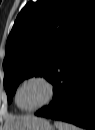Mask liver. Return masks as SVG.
<instances>
[{
    "label": "liver",
    "mask_w": 95,
    "mask_h": 130,
    "mask_svg": "<svg viewBox=\"0 0 95 130\" xmlns=\"http://www.w3.org/2000/svg\"><path fill=\"white\" fill-rule=\"evenodd\" d=\"M33 117L34 116H31V115L11 117L7 122L6 128H8L7 130H16L21 125L25 124Z\"/></svg>",
    "instance_id": "obj_1"
}]
</instances>
